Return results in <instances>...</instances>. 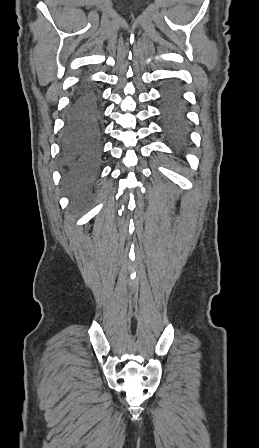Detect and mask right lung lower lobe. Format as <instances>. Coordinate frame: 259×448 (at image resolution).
Wrapping results in <instances>:
<instances>
[{
  "instance_id": "1",
  "label": "right lung lower lobe",
  "mask_w": 259,
  "mask_h": 448,
  "mask_svg": "<svg viewBox=\"0 0 259 448\" xmlns=\"http://www.w3.org/2000/svg\"><path fill=\"white\" fill-rule=\"evenodd\" d=\"M102 100L96 84L81 81L74 90L61 134L60 164L69 184L87 186L101 162Z\"/></svg>"
}]
</instances>
